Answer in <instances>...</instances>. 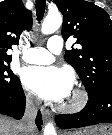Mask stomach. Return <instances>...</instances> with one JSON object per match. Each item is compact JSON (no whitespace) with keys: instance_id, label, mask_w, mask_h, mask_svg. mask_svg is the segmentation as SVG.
I'll use <instances>...</instances> for the list:
<instances>
[{"instance_id":"stomach-1","label":"stomach","mask_w":112,"mask_h":135,"mask_svg":"<svg viewBox=\"0 0 112 135\" xmlns=\"http://www.w3.org/2000/svg\"><path fill=\"white\" fill-rule=\"evenodd\" d=\"M64 135H112V125H98L83 131L66 132Z\"/></svg>"}]
</instances>
